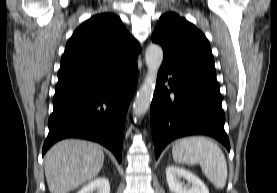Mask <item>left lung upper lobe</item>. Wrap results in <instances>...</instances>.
Listing matches in <instances>:
<instances>
[{
    "mask_svg": "<svg viewBox=\"0 0 277 193\" xmlns=\"http://www.w3.org/2000/svg\"><path fill=\"white\" fill-rule=\"evenodd\" d=\"M152 41L163 48V64L183 70L216 73L208 40L201 31L178 14L166 13L159 18Z\"/></svg>",
    "mask_w": 277,
    "mask_h": 193,
    "instance_id": "left-lung-upper-lobe-1",
    "label": "left lung upper lobe"
}]
</instances>
